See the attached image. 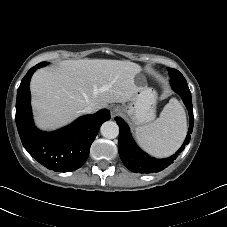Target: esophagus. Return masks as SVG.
Segmentation results:
<instances>
[{"label": "esophagus", "mask_w": 227, "mask_h": 227, "mask_svg": "<svg viewBox=\"0 0 227 227\" xmlns=\"http://www.w3.org/2000/svg\"><path fill=\"white\" fill-rule=\"evenodd\" d=\"M110 113H111V117L114 118L117 114L120 113V108L118 106H111L110 107Z\"/></svg>", "instance_id": "obj_1"}]
</instances>
